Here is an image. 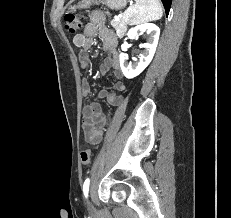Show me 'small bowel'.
Listing matches in <instances>:
<instances>
[{
  "label": "small bowel",
  "instance_id": "obj_1",
  "mask_svg": "<svg viewBox=\"0 0 231 218\" xmlns=\"http://www.w3.org/2000/svg\"><path fill=\"white\" fill-rule=\"evenodd\" d=\"M97 35L102 41L103 50L107 53L100 66V71L106 73L110 69H113L117 79L114 85L115 90H102L99 93V98H104L110 105L117 106L122 100V95L117 94V92L124 91L125 84L122 82L123 73L120 69L117 51L118 40L114 32L106 27L104 13L93 11L83 31L74 36L73 43L76 47L83 50L79 56V62L82 69H87L90 65V56L87 51L93 46ZM81 87L83 97L88 98L90 96L89 83L83 80ZM106 123L107 118L103 115L101 106L97 101H91L84 106L82 128L86 135L88 132L94 135V140H90L92 143L98 144L102 140Z\"/></svg>",
  "mask_w": 231,
  "mask_h": 218
}]
</instances>
